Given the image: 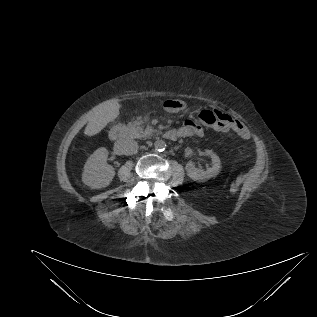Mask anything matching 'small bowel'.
Here are the masks:
<instances>
[{"instance_id": "c3829d8e", "label": "small bowel", "mask_w": 317, "mask_h": 317, "mask_svg": "<svg viewBox=\"0 0 317 317\" xmlns=\"http://www.w3.org/2000/svg\"><path fill=\"white\" fill-rule=\"evenodd\" d=\"M165 107L170 112H180L185 108L183 103L176 100L166 101ZM217 112L220 115V122L218 125H216V130L222 132L233 130L243 138L248 137L249 133L245 125L241 121L232 118L229 114L225 112ZM203 133V128L199 124L192 120H186L184 125L176 131V138L202 136Z\"/></svg>"}]
</instances>
